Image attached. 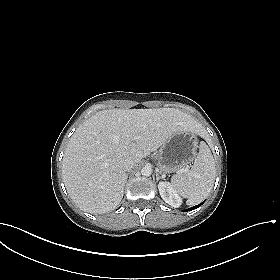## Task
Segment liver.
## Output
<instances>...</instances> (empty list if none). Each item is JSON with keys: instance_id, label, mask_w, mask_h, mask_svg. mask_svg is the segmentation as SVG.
Returning <instances> with one entry per match:
<instances>
[{"instance_id": "1", "label": "liver", "mask_w": 280, "mask_h": 280, "mask_svg": "<svg viewBox=\"0 0 280 280\" xmlns=\"http://www.w3.org/2000/svg\"><path fill=\"white\" fill-rule=\"evenodd\" d=\"M182 130L202 133V126L175 108L109 109L85 120L64 152L62 174L72 200L89 213L114 210L123 198L127 174L123 160L140 163Z\"/></svg>"}]
</instances>
